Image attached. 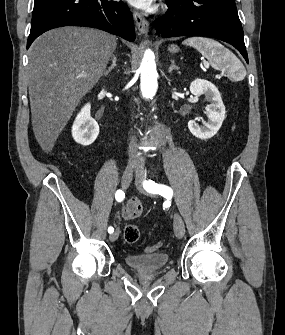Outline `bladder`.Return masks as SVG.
<instances>
[{
	"label": "bladder",
	"mask_w": 285,
	"mask_h": 335,
	"mask_svg": "<svg viewBox=\"0 0 285 335\" xmlns=\"http://www.w3.org/2000/svg\"><path fill=\"white\" fill-rule=\"evenodd\" d=\"M125 265H132L137 273L160 272V265H166V258H171L167 251H156L147 254L126 252Z\"/></svg>",
	"instance_id": "31cf9c89"
}]
</instances>
